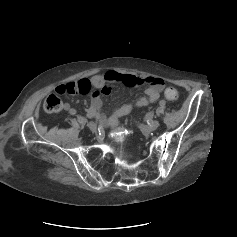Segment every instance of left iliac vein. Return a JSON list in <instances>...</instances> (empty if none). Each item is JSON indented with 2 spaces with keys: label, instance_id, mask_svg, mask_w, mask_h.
<instances>
[{
  "label": "left iliac vein",
  "instance_id": "left-iliac-vein-1",
  "mask_svg": "<svg viewBox=\"0 0 237 237\" xmlns=\"http://www.w3.org/2000/svg\"><path fill=\"white\" fill-rule=\"evenodd\" d=\"M159 125H160L159 121L155 120V121H152L149 126L140 125V128L153 131V130H156L159 127Z\"/></svg>",
  "mask_w": 237,
  "mask_h": 237
}]
</instances>
